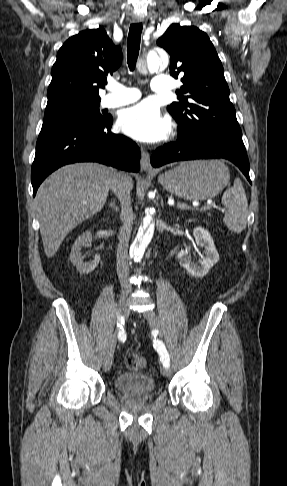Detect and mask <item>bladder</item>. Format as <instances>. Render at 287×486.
Segmentation results:
<instances>
[{"label": "bladder", "mask_w": 287, "mask_h": 486, "mask_svg": "<svg viewBox=\"0 0 287 486\" xmlns=\"http://www.w3.org/2000/svg\"><path fill=\"white\" fill-rule=\"evenodd\" d=\"M114 385L124 393L148 394L154 391L155 381L143 373H123L116 377Z\"/></svg>", "instance_id": "bladder-1"}]
</instances>
